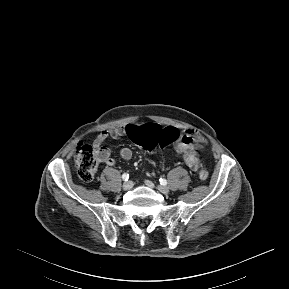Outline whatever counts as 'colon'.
Masks as SVG:
<instances>
[{
    "label": "colon",
    "instance_id": "1",
    "mask_svg": "<svg viewBox=\"0 0 289 289\" xmlns=\"http://www.w3.org/2000/svg\"><path fill=\"white\" fill-rule=\"evenodd\" d=\"M131 140L146 152L156 147L164 148L181 139L182 135L175 128L162 129L157 124H148L143 127L129 126L127 128ZM78 175L84 182L94 179L99 163L101 162L100 150L97 146L80 144L74 156ZM208 171L202 168L199 178L207 180Z\"/></svg>",
    "mask_w": 289,
    "mask_h": 289
}]
</instances>
